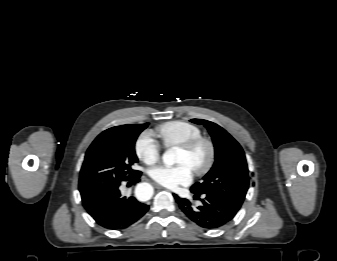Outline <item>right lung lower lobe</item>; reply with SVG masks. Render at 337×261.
I'll return each mask as SVG.
<instances>
[{
	"label": "right lung lower lobe",
	"instance_id": "1",
	"mask_svg": "<svg viewBox=\"0 0 337 261\" xmlns=\"http://www.w3.org/2000/svg\"><path fill=\"white\" fill-rule=\"evenodd\" d=\"M140 175L141 172L127 181H139ZM119 186L99 191L83 200L87 212L106 229H125L137 222L149 209L148 205L140 203L133 196L122 197Z\"/></svg>",
	"mask_w": 337,
	"mask_h": 261
}]
</instances>
